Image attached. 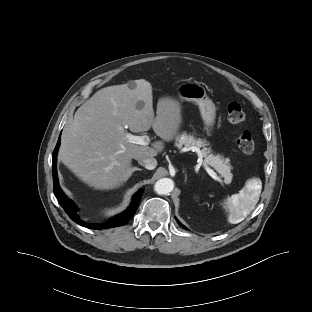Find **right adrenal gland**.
Here are the masks:
<instances>
[{
    "label": "right adrenal gland",
    "mask_w": 312,
    "mask_h": 312,
    "mask_svg": "<svg viewBox=\"0 0 312 312\" xmlns=\"http://www.w3.org/2000/svg\"><path fill=\"white\" fill-rule=\"evenodd\" d=\"M142 169L138 168V167H133L132 172L134 171H141Z\"/></svg>",
    "instance_id": "right-adrenal-gland-1"
}]
</instances>
